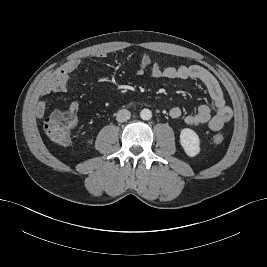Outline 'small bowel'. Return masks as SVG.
<instances>
[{"label": "small bowel", "instance_id": "1", "mask_svg": "<svg viewBox=\"0 0 267 267\" xmlns=\"http://www.w3.org/2000/svg\"><path fill=\"white\" fill-rule=\"evenodd\" d=\"M105 53H98L96 57L104 58ZM79 66L78 60L68 62L64 67L59 69L54 76L46 83L42 89V95L51 93H65L69 90V80L71 74L77 70ZM137 76L148 73L153 78L168 79H195L199 80L206 87V90L213 102L214 111L208 105H201L196 112L190 113L184 117L186 125L191 127L208 125L212 131H219L225 123L232 117V110L227 105L222 89L216 78L205 68L198 65H180L177 67H162L158 63H153L148 55H144L135 71ZM79 110V104L72 102L69 112L76 114ZM35 113L39 118H43L46 113V104L43 101L38 102ZM182 111L179 107H173L170 110L172 118H179Z\"/></svg>", "mask_w": 267, "mask_h": 267}]
</instances>
